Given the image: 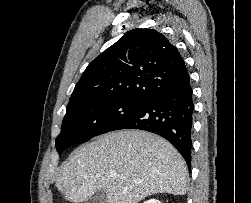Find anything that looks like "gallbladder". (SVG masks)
Returning a JSON list of instances; mask_svg holds the SVG:
<instances>
[{
  "label": "gallbladder",
  "instance_id": "obj_1",
  "mask_svg": "<svg viewBox=\"0 0 251 203\" xmlns=\"http://www.w3.org/2000/svg\"><path fill=\"white\" fill-rule=\"evenodd\" d=\"M85 203H107V196L103 190L90 196Z\"/></svg>",
  "mask_w": 251,
  "mask_h": 203
}]
</instances>
